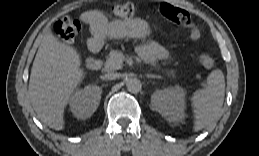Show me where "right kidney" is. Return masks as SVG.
Here are the masks:
<instances>
[{"label": "right kidney", "instance_id": "1", "mask_svg": "<svg viewBox=\"0 0 259 156\" xmlns=\"http://www.w3.org/2000/svg\"><path fill=\"white\" fill-rule=\"evenodd\" d=\"M102 89L88 85L77 90L70 99V110L77 119H87L96 111L101 99Z\"/></svg>", "mask_w": 259, "mask_h": 156}]
</instances>
